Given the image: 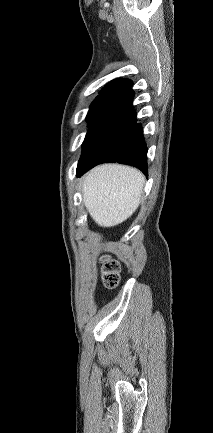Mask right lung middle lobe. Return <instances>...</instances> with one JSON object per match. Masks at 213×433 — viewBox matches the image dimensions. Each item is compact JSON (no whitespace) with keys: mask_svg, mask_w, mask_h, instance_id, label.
I'll return each instance as SVG.
<instances>
[{"mask_svg":"<svg viewBox=\"0 0 213 433\" xmlns=\"http://www.w3.org/2000/svg\"><path fill=\"white\" fill-rule=\"evenodd\" d=\"M115 98V96H99L97 97L89 110L87 121L89 125L96 118V116Z\"/></svg>","mask_w":213,"mask_h":433,"instance_id":"1","label":"right lung middle lobe"}]
</instances>
